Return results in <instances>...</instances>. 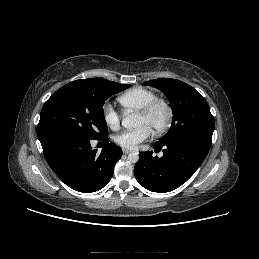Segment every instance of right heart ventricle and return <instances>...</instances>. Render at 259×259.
Wrapping results in <instances>:
<instances>
[{
	"label": "right heart ventricle",
	"instance_id": "1",
	"mask_svg": "<svg viewBox=\"0 0 259 259\" xmlns=\"http://www.w3.org/2000/svg\"><path fill=\"white\" fill-rule=\"evenodd\" d=\"M155 98H157V94L154 91L135 87L121 94L118 101L126 109L139 111Z\"/></svg>",
	"mask_w": 259,
	"mask_h": 259
}]
</instances>
